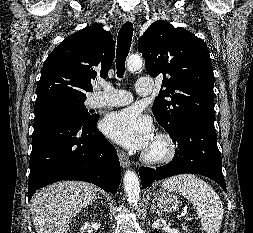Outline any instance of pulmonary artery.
I'll list each match as a JSON object with an SVG mask.
<instances>
[{
	"instance_id": "obj_1",
	"label": "pulmonary artery",
	"mask_w": 253,
	"mask_h": 233,
	"mask_svg": "<svg viewBox=\"0 0 253 233\" xmlns=\"http://www.w3.org/2000/svg\"><path fill=\"white\" fill-rule=\"evenodd\" d=\"M103 91L96 94L92 100V106H124L133 101L131 93L125 90L116 89L109 85L103 84ZM153 90V82L146 77H140L137 81L136 92L139 95L145 96L151 94Z\"/></svg>"
}]
</instances>
